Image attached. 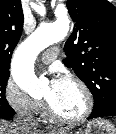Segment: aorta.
<instances>
[{
    "mask_svg": "<svg viewBox=\"0 0 116 134\" xmlns=\"http://www.w3.org/2000/svg\"><path fill=\"white\" fill-rule=\"evenodd\" d=\"M69 19L61 18L54 23L41 24L16 50L12 62L15 83L31 96L41 94L47 84L34 72V59L48 46L62 40L69 31Z\"/></svg>",
    "mask_w": 116,
    "mask_h": 134,
    "instance_id": "1",
    "label": "aorta"
}]
</instances>
